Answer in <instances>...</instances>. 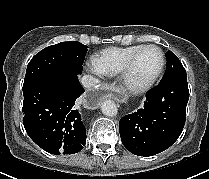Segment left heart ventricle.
I'll list each match as a JSON object with an SVG mask.
<instances>
[{"instance_id":"obj_1","label":"left heart ventricle","mask_w":209,"mask_h":179,"mask_svg":"<svg viewBox=\"0 0 209 179\" xmlns=\"http://www.w3.org/2000/svg\"><path fill=\"white\" fill-rule=\"evenodd\" d=\"M160 64L161 55L157 49L145 50L138 58L131 72L130 79L132 83L140 84L149 80L156 74Z\"/></svg>"}]
</instances>
